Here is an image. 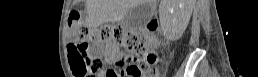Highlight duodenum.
<instances>
[{
	"label": "duodenum",
	"mask_w": 258,
	"mask_h": 77,
	"mask_svg": "<svg viewBox=\"0 0 258 77\" xmlns=\"http://www.w3.org/2000/svg\"><path fill=\"white\" fill-rule=\"evenodd\" d=\"M155 26H156V21H155V20L151 21V23H150V29H151V30H154Z\"/></svg>",
	"instance_id": "410a0bca"
}]
</instances>
